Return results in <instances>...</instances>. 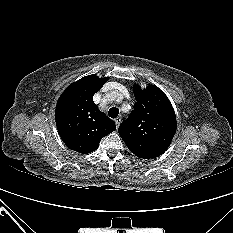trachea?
I'll return each instance as SVG.
<instances>
[{
    "instance_id": "3493384b",
    "label": "trachea",
    "mask_w": 233,
    "mask_h": 233,
    "mask_svg": "<svg viewBox=\"0 0 233 233\" xmlns=\"http://www.w3.org/2000/svg\"><path fill=\"white\" fill-rule=\"evenodd\" d=\"M118 114H119V109L116 107L110 108V110L108 112L109 117H111L113 119L116 118L118 116Z\"/></svg>"
}]
</instances>
